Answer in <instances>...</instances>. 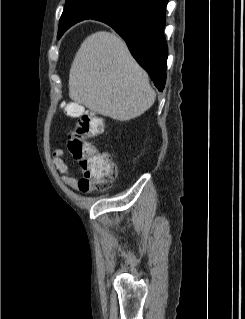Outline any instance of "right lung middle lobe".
Here are the masks:
<instances>
[{"instance_id": "1", "label": "right lung middle lobe", "mask_w": 245, "mask_h": 319, "mask_svg": "<svg viewBox=\"0 0 245 319\" xmlns=\"http://www.w3.org/2000/svg\"><path fill=\"white\" fill-rule=\"evenodd\" d=\"M127 0H84L80 2L81 7H83L87 12H89L94 17L112 10L121 4L125 3ZM93 17V18H94ZM92 19V18H89ZM66 28V27H65ZM65 28L59 29L60 35L65 32Z\"/></svg>"}]
</instances>
